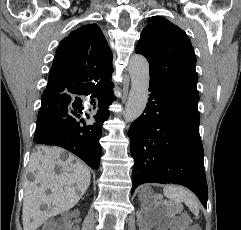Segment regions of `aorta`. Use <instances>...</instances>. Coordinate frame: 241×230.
Instances as JSON below:
<instances>
[{
	"instance_id": "aorta-1",
	"label": "aorta",
	"mask_w": 241,
	"mask_h": 230,
	"mask_svg": "<svg viewBox=\"0 0 241 230\" xmlns=\"http://www.w3.org/2000/svg\"><path fill=\"white\" fill-rule=\"evenodd\" d=\"M128 72L131 78V89L124 111V119L132 122L143 113L149 89V64L142 55H134L130 58Z\"/></svg>"
}]
</instances>
